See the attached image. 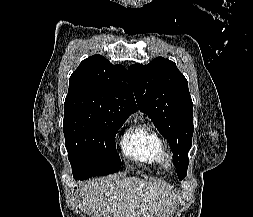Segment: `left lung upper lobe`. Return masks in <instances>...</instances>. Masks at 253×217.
Here are the masks:
<instances>
[{"instance_id":"1","label":"left lung upper lobe","mask_w":253,"mask_h":217,"mask_svg":"<svg viewBox=\"0 0 253 217\" xmlns=\"http://www.w3.org/2000/svg\"><path fill=\"white\" fill-rule=\"evenodd\" d=\"M136 102L167 139L179 179L186 176L192 145L193 103L184 75L176 64L163 57L149 64L129 67Z\"/></svg>"}]
</instances>
